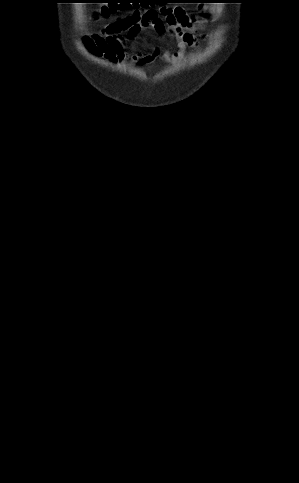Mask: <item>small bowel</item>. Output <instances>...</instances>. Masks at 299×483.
<instances>
[{
  "label": "small bowel",
  "mask_w": 299,
  "mask_h": 483,
  "mask_svg": "<svg viewBox=\"0 0 299 483\" xmlns=\"http://www.w3.org/2000/svg\"><path fill=\"white\" fill-rule=\"evenodd\" d=\"M161 14L166 17V24L159 12L153 9H135L126 16L108 23L102 31L83 38V47L94 58L106 60L112 64L132 63L137 65L152 64L156 60L178 64L187 57L186 49L197 46L194 19L183 8H165ZM150 28L158 35L169 33L174 37L176 50L161 51L157 47L146 53L137 49L127 51V42L121 36L123 31L135 36Z\"/></svg>",
  "instance_id": "obj_1"
}]
</instances>
